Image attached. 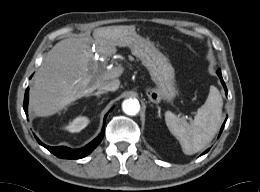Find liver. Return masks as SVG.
<instances>
[{
  "instance_id": "6515ba94",
  "label": "liver",
  "mask_w": 260,
  "mask_h": 192,
  "mask_svg": "<svg viewBox=\"0 0 260 192\" xmlns=\"http://www.w3.org/2000/svg\"><path fill=\"white\" fill-rule=\"evenodd\" d=\"M117 27L128 26L98 28L93 38H66L55 44L36 72L30 90V107L36 116L53 115L115 79L109 76L105 63L94 57L92 44L101 57L113 55L116 45L110 33Z\"/></svg>"
}]
</instances>
